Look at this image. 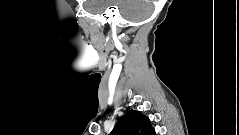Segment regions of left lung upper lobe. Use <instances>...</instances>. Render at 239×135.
Listing matches in <instances>:
<instances>
[{
	"label": "left lung upper lobe",
	"mask_w": 239,
	"mask_h": 135,
	"mask_svg": "<svg viewBox=\"0 0 239 135\" xmlns=\"http://www.w3.org/2000/svg\"><path fill=\"white\" fill-rule=\"evenodd\" d=\"M111 135H156L149 118L136 110L120 117Z\"/></svg>",
	"instance_id": "obj_1"
}]
</instances>
